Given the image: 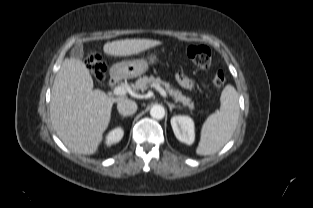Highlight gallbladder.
Returning a JSON list of instances; mask_svg holds the SVG:
<instances>
[{
	"label": "gallbladder",
	"mask_w": 313,
	"mask_h": 208,
	"mask_svg": "<svg viewBox=\"0 0 313 208\" xmlns=\"http://www.w3.org/2000/svg\"><path fill=\"white\" fill-rule=\"evenodd\" d=\"M70 55L72 59L81 60L84 55L83 47L80 44L74 46L71 50Z\"/></svg>",
	"instance_id": "obj_1"
}]
</instances>
